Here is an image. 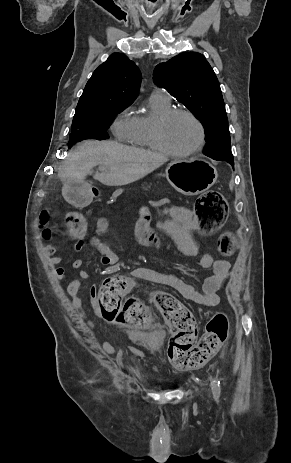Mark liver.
Masks as SVG:
<instances>
[{
    "mask_svg": "<svg viewBox=\"0 0 291 463\" xmlns=\"http://www.w3.org/2000/svg\"><path fill=\"white\" fill-rule=\"evenodd\" d=\"M166 161L162 154L115 141L88 140L68 154L58 177L66 184H83L91 170L100 166L94 179L107 186H123L143 178Z\"/></svg>",
    "mask_w": 291,
    "mask_h": 463,
    "instance_id": "1",
    "label": "liver"
}]
</instances>
